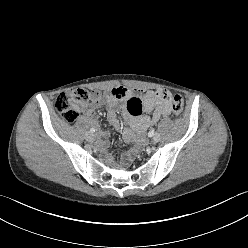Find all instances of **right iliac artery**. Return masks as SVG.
Here are the masks:
<instances>
[{"mask_svg":"<svg viewBox=\"0 0 248 248\" xmlns=\"http://www.w3.org/2000/svg\"><path fill=\"white\" fill-rule=\"evenodd\" d=\"M90 132H91V133H94V132H95V129H94V128H91V129H90Z\"/></svg>","mask_w":248,"mask_h":248,"instance_id":"82829eb1","label":"right iliac artery"}]
</instances>
